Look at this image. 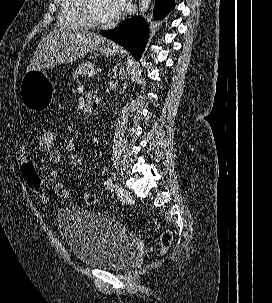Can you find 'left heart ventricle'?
<instances>
[{"instance_id":"obj_1","label":"left heart ventricle","mask_w":272,"mask_h":303,"mask_svg":"<svg viewBox=\"0 0 272 303\" xmlns=\"http://www.w3.org/2000/svg\"><path fill=\"white\" fill-rule=\"evenodd\" d=\"M91 12H92L93 17L99 22L110 21L108 14H107V10H106V1L105 0H92Z\"/></svg>"}]
</instances>
